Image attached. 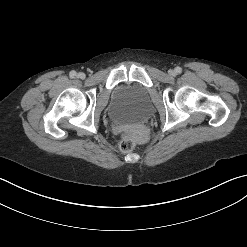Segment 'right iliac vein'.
<instances>
[{"label":"right iliac vein","mask_w":247,"mask_h":247,"mask_svg":"<svg viewBox=\"0 0 247 247\" xmlns=\"http://www.w3.org/2000/svg\"><path fill=\"white\" fill-rule=\"evenodd\" d=\"M77 76H78V78H80V79H84V78H85V74L82 73V72L78 73Z\"/></svg>","instance_id":"63e3f726"}]
</instances>
